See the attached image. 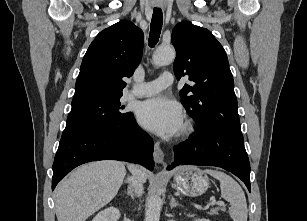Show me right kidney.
Instances as JSON below:
<instances>
[{
  "label": "right kidney",
  "mask_w": 307,
  "mask_h": 221,
  "mask_svg": "<svg viewBox=\"0 0 307 221\" xmlns=\"http://www.w3.org/2000/svg\"><path fill=\"white\" fill-rule=\"evenodd\" d=\"M120 218V211L115 207H109L99 212L92 221H117Z\"/></svg>",
  "instance_id": "right-kidney-1"
}]
</instances>
